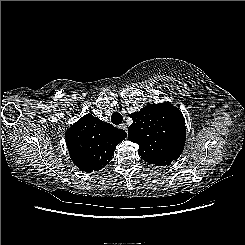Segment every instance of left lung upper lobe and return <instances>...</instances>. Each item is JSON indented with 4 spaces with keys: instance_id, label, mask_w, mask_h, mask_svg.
Segmentation results:
<instances>
[{
    "instance_id": "1",
    "label": "left lung upper lobe",
    "mask_w": 245,
    "mask_h": 245,
    "mask_svg": "<svg viewBox=\"0 0 245 245\" xmlns=\"http://www.w3.org/2000/svg\"><path fill=\"white\" fill-rule=\"evenodd\" d=\"M130 117L133 123L128 128V138L139 145L143 160L166 166L181 155L186 128L179 109L169 103L148 104Z\"/></svg>"
}]
</instances>
